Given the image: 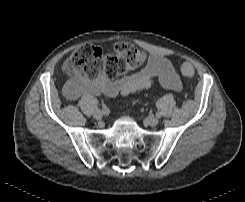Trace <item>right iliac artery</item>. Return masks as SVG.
<instances>
[{
	"label": "right iliac artery",
	"mask_w": 245,
	"mask_h": 202,
	"mask_svg": "<svg viewBox=\"0 0 245 202\" xmlns=\"http://www.w3.org/2000/svg\"><path fill=\"white\" fill-rule=\"evenodd\" d=\"M102 110L105 112V114L109 113V109L107 107H103Z\"/></svg>",
	"instance_id": "obj_1"
}]
</instances>
